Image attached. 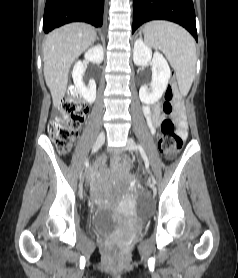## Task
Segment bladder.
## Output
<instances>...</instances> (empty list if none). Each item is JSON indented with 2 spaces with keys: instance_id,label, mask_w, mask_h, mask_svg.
Here are the masks:
<instances>
[{
  "instance_id": "bladder-1",
  "label": "bladder",
  "mask_w": 238,
  "mask_h": 278,
  "mask_svg": "<svg viewBox=\"0 0 238 278\" xmlns=\"http://www.w3.org/2000/svg\"><path fill=\"white\" fill-rule=\"evenodd\" d=\"M117 225L105 211L90 215L87 228L89 232L99 235H108L115 231Z\"/></svg>"
}]
</instances>
